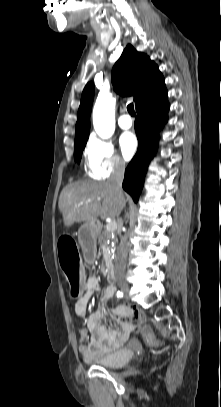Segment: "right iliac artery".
Wrapping results in <instances>:
<instances>
[{
	"label": "right iliac artery",
	"instance_id": "obj_1",
	"mask_svg": "<svg viewBox=\"0 0 221 407\" xmlns=\"http://www.w3.org/2000/svg\"><path fill=\"white\" fill-rule=\"evenodd\" d=\"M117 296H118V297H122V296H123V293L120 292V291H118V292H117Z\"/></svg>",
	"mask_w": 221,
	"mask_h": 407
}]
</instances>
